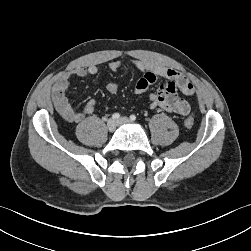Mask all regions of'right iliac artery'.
Returning a JSON list of instances; mask_svg holds the SVG:
<instances>
[{
    "instance_id": "82829eb1",
    "label": "right iliac artery",
    "mask_w": 251,
    "mask_h": 251,
    "mask_svg": "<svg viewBox=\"0 0 251 251\" xmlns=\"http://www.w3.org/2000/svg\"><path fill=\"white\" fill-rule=\"evenodd\" d=\"M112 118H113V119H119V118H120V114H119V113H114V114L112 115Z\"/></svg>"
}]
</instances>
